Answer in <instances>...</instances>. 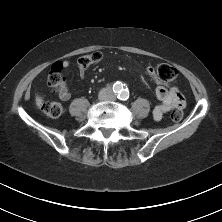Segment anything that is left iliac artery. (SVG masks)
Segmentation results:
<instances>
[{
    "label": "left iliac artery",
    "instance_id": "44dca946",
    "mask_svg": "<svg viewBox=\"0 0 222 222\" xmlns=\"http://www.w3.org/2000/svg\"><path fill=\"white\" fill-rule=\"evenodd\" d=\"M129 98V92L127 90H123L122 92H120L119 94V99L120 100H127Z\"/></svg>",
    "mask_w": 222,
    "mask_h": 222
}]
</instances>
